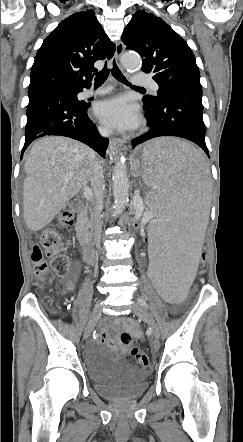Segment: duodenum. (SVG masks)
Returning <instances> with one entry per match:
<instances>
[{"instance_id": "410a0bca", "label": "duodenum", "mask_w": 243, "mask_h": 442, "mask_svg": "<svg viewBox=\"0 0 243 442\" xmlns=\"http://www.w3.org/2000/svg\"><path fill=\"white\" fill-rule=\"evenodd\" d=\"M77 205V213H78V219H77V226L82 227L87 220V212L85 210V207L81 203H76ZM82 257L85 263H94L95 261V254L91 246L84 245L83 251H82Z\"/></svg>"}]
</instances>
